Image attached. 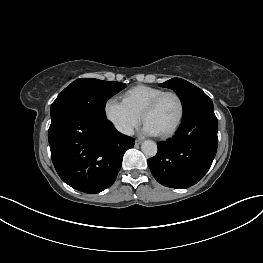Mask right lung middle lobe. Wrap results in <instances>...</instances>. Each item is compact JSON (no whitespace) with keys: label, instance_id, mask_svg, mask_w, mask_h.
I'll return each mask as SVG.
<instances>
[{"label":"right lung middle lobe","instance_id":"obj_1","mask_svg":"<svg viewBox=\"0 0 263 263\" xmlns=\"http://www.w3.org/2000/svg\"><path fill=\"white\" fill-rule=\"evenodd\" d=\"M121 82L77 79L66 87L51 105V119L63 113L79 112L105 117L106 101L125 88Z\"/></svg>","mask_w":263,"mask_h":263}]
</instances>
